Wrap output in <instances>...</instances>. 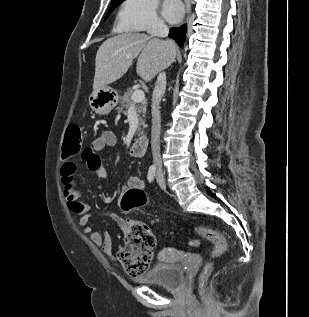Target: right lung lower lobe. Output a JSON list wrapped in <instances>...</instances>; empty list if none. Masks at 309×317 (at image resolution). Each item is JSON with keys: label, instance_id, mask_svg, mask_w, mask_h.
<instances>
[{"label": "right lung lower lobe", "instance_id": "98d812e1", "mask_svg": "<svg viewBox=\"0 0 309 317\" xmlns=\"http://www.w3.org/2000/svg\"><path fill=\"white\" fill-rule=\"evenodd\" d=\"M186 30V25H182L180 28H171L169 32V37L174 39L180 47H183Z\"/></svg>", "mask_w": 309, "mask_h": 317}]
</instances>
